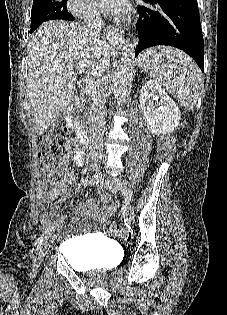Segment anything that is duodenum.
I'll use <instances>...</instances> for the list:
<instances>
[{
    "instance_id": "410a0bca",
    "label": "duodenum",
    "mask_w": 227,
    "mask_h": 315,
    "mask_svg": "<svg viewBox=\"0 0 227 315\" xmlns=\"http://www.w3.org/2000/svg\"><path fill=\"white\" fill-rule=\"evenodd\" d=\"M76 117H77V104H75L72 107V109L69 111V113L65 116V122L69 127L77 130V135H78V139L80 143L88 146L89 140H90L89 132L78 126Z\"/></svg>"
}]
</instances>
